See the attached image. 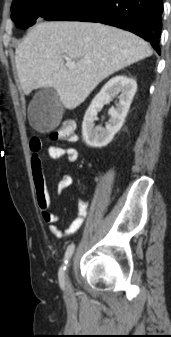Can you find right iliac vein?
I'll use <instances>...</instances> for the list:
<instances>
[{"instance_id": "63e3f726", "label": "right iliac vein", "mask_w": 171, "mask_h": 337, "mask_svg": "<svg viewBox=\"0 0 171 337\" xmlns=\"http://www.w3.org/2000/svg\"><path fill=\"white\" fill-rule=\"evenodd\" d=\"M72 293V289H71V286L69 283L66 284V291H65V294L67 297H69Z\"/></svg>"}]
</instances>
